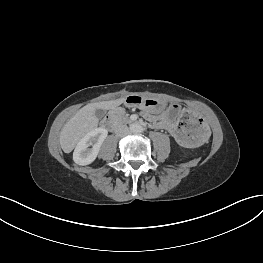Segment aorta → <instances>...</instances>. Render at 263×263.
Returning a JSON list of instances; mask_svg holds the SVG:
<instances>
[{
  "label": "aorta",
  "instance_id": "762f6f07",
  "mask_svg": "<svg viewBox=\"0 0 263 263\" xmlns=\"http://www.w3.org/2000/svg\"><path fill=\"white\" fill-rule=\"evenodd\" d=\"M129 129L132 133H139L142 131V126L138 123H132Z\"/></svg>",
  "mask_w": 263,
  "mask_h": 263
}]
</instances>
